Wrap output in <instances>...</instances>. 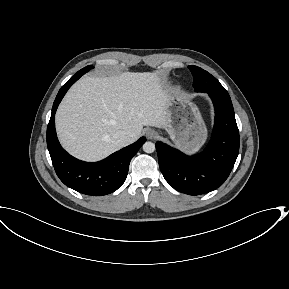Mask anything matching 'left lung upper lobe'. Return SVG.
Masks as SVG:
<instances>
[{
	"label": "left lung upper lobe",
	"mask_w": 289,
	"mask_h": 289,
	"mask_svg": "<svg viewBox=\"0 0 289 289\" xmlns=\"http://www.w3.org/2000/svg\"><path fill=\"white\" fill-rule=\"evenodd\" d=\"M193 75V87L196 92L216 93L228 96V92L220 82L207 71L200 67L190 65L188 67Z\"/></svg>",
	"instance_id": "left-lung-upper-lobe-1"
}]
</instances>
